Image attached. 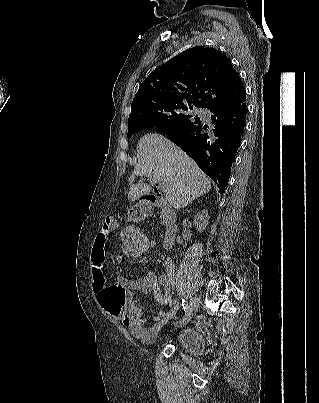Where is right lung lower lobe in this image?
Returning <instances> with one entry per match:
<instances>
[{"mask_svg":"<svg viewBox=\"0 0 319 403\" xmlns=\"http://www.w3.org/2000/svg\"><path fill=\"white\" fill-rule=\"evenodd\" d=\"M245 101L240 99L209 109L214 124L210 131L200 120L190 127L165 133L217 183L221 194L228 184L231 165L244 132Z\"/></svg>","mask_w":319,"mask_h":403,"instance_id":"right-lung-lower-lobe-1","label":"right lung lower lobe"}]
</instances>
